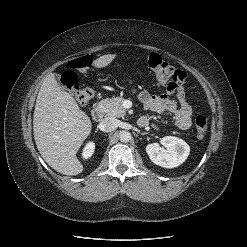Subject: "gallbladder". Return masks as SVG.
I'll return each mask as SVG.
<instances>
[{
    "label": "gallbladder",
    "instance_id": "obj_1",
    "mask_svg": "<svg viewBox=\"0 0 247 247\" xmlns=\"http://www.w3.org/2000/svg\"><path fill=\"white\" fill-rule=\"evenodd\" d=\"M56 77H57V78H59V74H56ZM62 88H63V89H65V87H64V86H62Z\"/></svg>",
    "mask_w": 247,
    "mask_h": 247
}]
</instances>
